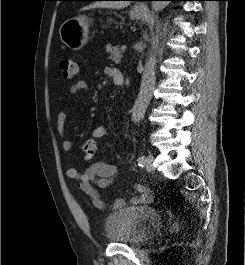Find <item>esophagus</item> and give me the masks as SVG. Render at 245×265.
Listing matches in <instances>:
<instances>
[{
	"mask_svg": "<svg viewBox=\"0 0 245 265\" xmlns=\"http://www.w3.org/2000/svg\"><path fill=\"white\" fill-rule=\"evenodd\" d=\"M135 9L138 11H144L146 9V5L144 3L137 4Z\"/></svg>",
	"mask_w": 245,
	"mask_h": 265,
	"instance_id": "34e87169",
	"label": "esophagus"
}]
</instances>
